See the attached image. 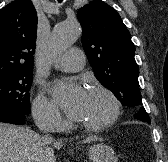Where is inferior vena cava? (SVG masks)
Wrapping results in <instances>:
<instances>
[{"label": "inferior vena cava", "instance_id": "602c4592", "mask_svg": "<svg viewBox=\"0 0 168 162\" xmlns=\"http://www.w3.org/2000/svg\"><path fill=\"white\" fill-rule=\"evenodd\" d=\"M38 127L41 131H43L44 133H46L42 139L45 140H52L51 135L47 134L48 131L51 130L50 124L48 123V121H40V123L38 124Z\"/></svg>", "mask_w": 168, "mask_h": 162}]
</instances>
